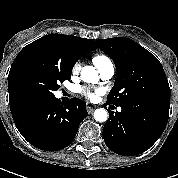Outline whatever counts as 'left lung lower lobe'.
Segmentation results:
<instances>
[{
	"mask_svg": "<svg viewBox=\"0 0 178 178\" xmlns=\"http://www.w3.org/2000/svg\"><path fill=\"white\" fill-rule=\"evenodd\" d=\"M121 109L115 116L109 111V118L103 128L105 144L119 155L141 154L162 135L168 117L130 107L121 106Z\"/></svg>",
	"mask_w": 178,
	"mask_h": 178,
	"instance_id": "left-lung-lower-lobe-1",
	"label": "left lung lower lobe"
}]
</instances>
